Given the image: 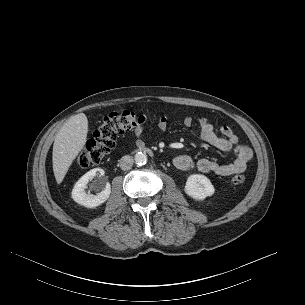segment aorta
<instances>
[{
  "label": "aorta",
  "instance_id": "obj_1",
  "mask_svg": "<svg viewBox=\"0 0 305 305\" xmlns=\"http://www.w3.org/2000/svg\"><path fill=\"white\" fill-rule=\"evenodd\" d=\"M135 162L139 166H143L147 162V155L143 152H138L135 154Z\"/></svg>",
  "mask_w": 305,
  "mask_h": 305
}]
</instances>
